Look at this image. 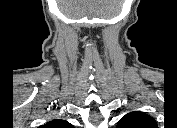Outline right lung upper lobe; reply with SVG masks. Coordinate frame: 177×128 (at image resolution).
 <instances>
[{
    "label": "right lung upper lobe",
    "mask_w": 177,
    "mask_h": 128,
    "mask_svg": "<svg viewBox=\"0 0 177 128\" xmlns=\"http://www.w3.org/2000/svg\"><path fill=\"white\" fill-rule=\"evenodd\" d=\"M72 127H73L72 124L60 119L52 120L42 126V128H72Z\"/></svg>",
    "instance_id": "cb5924a9"
}]
</instances>
